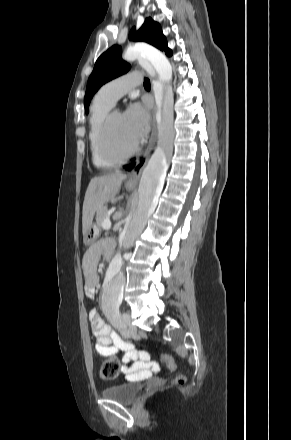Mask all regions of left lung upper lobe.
I'll list each match as a JSON object with an SVG mask.
<instances>
[{
	"mask_svg": "<svg viewBox=\"0 0 291 440\" xmlns=\"http://www.w3.org/2000/svg\"><path fill=\"white\" fill-rule=\"evenodd\" d=\"M129 38L134 41L147 42L165 51L166 55H172V51L167 46V41L161 31L160 25L150 17L145 20L137 32H135V28H132ZM129 69L130 65L121 59V47L118 45L112 46L98 58L87 83L84 97L86 114L88 113L90 101L98 89L110 80L125 74Z\"/></svg>",
	"mask_w": 291,
	"mask_h": 440,
	"instance_id": "5c2ea615",
	"label": "left lung upper lobe"
}]
</instances>
